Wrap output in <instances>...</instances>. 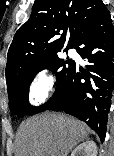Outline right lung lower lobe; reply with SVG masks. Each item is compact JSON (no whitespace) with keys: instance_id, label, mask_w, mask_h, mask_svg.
I'll use <instances>...</instances> for the list:
<instances>
[{"instance_id":"1","label":"right lung lower lobe","mask_w":114,"mask_h":156,"mask_svg":"<svg viewBox=\"0 0 114 156\" xmlns=\"http://www.w3.org/2000/svg\"><path fill=\"white\" fill-rule=\"evenodd\" d=\"M73 48L87 59V69L74 64L61 93L46 110L77 117L103 141L114 90V27L107 9L80 34Z\"/></svg>"}]
</instances>
